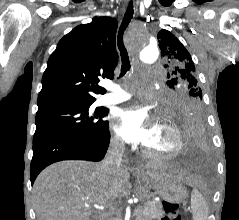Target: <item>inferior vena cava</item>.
Returning <instances> with one entry per match:
<instances>
[{
  "mask_svg": "<svg viewBox=\"0 0 239 220\" xmlns=\"http://www.w3.org/2000/svg\"><path fill=\"white\" fill-rule=\"evenodd\" d=\"M124 150V142L118 139H113L110 142L108 151L101 163V168L105 171H113L120 167Z\"/></svg>",
  "mask_w": 239,
  "mask_h": 220,
  "instance_id": "obj_1",
  "label": "inferior vena cava"
}]
</instances>
